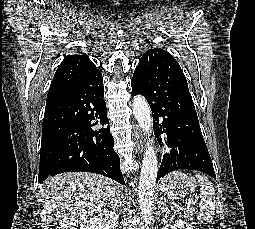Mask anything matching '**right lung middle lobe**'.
Instances as JSON below:
<instances>
[{"mask_svg":"<svg viewBox=\"0 0 255 229\" xmlns=\"http://www.w3.org/2000/svg\"><path fill=\"white\" fill-rule=\"evenodd\" d=\"M62 133L63 127L60 124L54 125L48 130H42L40 167L50 166Z\"/></svg>","mask_w":255,"mask_h":229,"instance_id":"obj_1","label":"right lung middle lobe"}]
</instances>
